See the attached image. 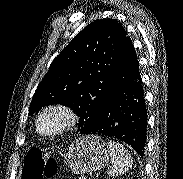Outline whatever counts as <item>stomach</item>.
Instances as JSON below:
<instances>
[{
	"label": "stomach",
	"mask_w": 183,
	"mask_h": 179,
	"mask_svg": "<svg viewBox=\"0 0 183 179\" xmlns=\"http://www.w3.org/2000/svg\"><path fill=\"white\" fill-rule=\"evenodd\" d=\"M64 157L73 173L84 174L104 168L111 155L100 136L88 135L76 139L64 153Z\"/></svg>",
	"instance_id": "obj_1"
}]
</instances>
